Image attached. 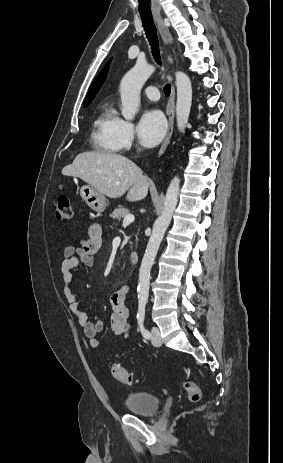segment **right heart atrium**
Wrapping results in <instances>:
<instances>
[{
	"mask_svg": "<svg viewBox=\"0 0 283 463\" xmlns=\"http://www.w3.org/2000/svg\"><path fill=\"white\" fill-rule=\"evenodd\" d=\"M118 137L122 148L129 149L132 147L134 143V128L131 122L119 119Z\"/></svg>",
	"mask_w": 283,
	"mask_h": 463,
	"instance_id": "1",
	"label": "right heart atrium"
}]
</instances>
